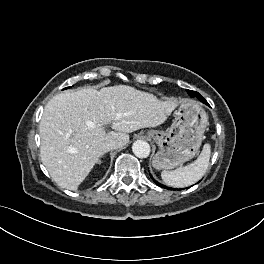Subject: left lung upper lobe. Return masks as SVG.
<instances>
[{"label": "left lung upper lobe", "instance_id": "left-lung-upper-lobe-1", "mask_svg": "<svg viewBox=\"0 0 264 264\" xmlns=\"http://www.w3.org/2000/svg\"><path fill=\"white\" fill-rule=\"evenodd\" d=\"M187 92L191 96V93H193L194 91L187 90Z\"/></svg>", "mask_w": 264, "mask_h": 264}]
</instances>
